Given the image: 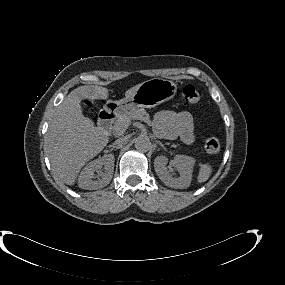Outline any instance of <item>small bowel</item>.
I'll return each instance as SVG.
<instances>
[{"mask_svg": "<svg viewBox=\"0 0 285 285\" xmlns=\"http://www.w3.org/2000/svg\"><path fill=\"white\" fill-rule=\"evenodd\" d=\"M154 125L156 132L165 138H180L186 144L195 140L193 119L188 112L160 111L154 116Z\"/></svg>", "mask_w": 285, "mask_h": 285, "instance_id": "small-bowel-1", "label": "small bowel"}]
</instances>
